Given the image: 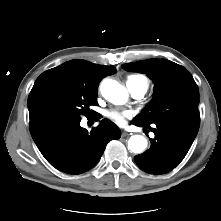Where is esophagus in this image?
Listing matches in <instances>:
<instances>
[{"label":"esophagus","mask_w":221,"mask_h":221,"mask_svg":"<svg viewBox=\"0 0 221 221\" xmlns=\"http://www.w3.org/2000/svg\"><path fill=\"white\" fill-rule=\"evenodd\" d=\"M128 134H129L128 131L123 130V132H122V135H123V136H126V135H128Z\"/></svg>","instance_id":"1"}]
</instances>
